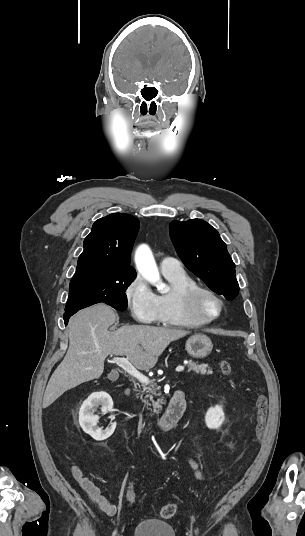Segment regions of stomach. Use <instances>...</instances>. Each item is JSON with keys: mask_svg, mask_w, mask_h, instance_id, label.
I'll return each instance as SVG.
<instances>
[{"mask_svg": "<svg viewBox=\"0 0 305 536\" xmlns=\"http://www.w3.org/2000/svg\"><path fill=\"white\" fill-rule=\"evenodd\" d=\"M212 342L204 334H195L186 342L185 350L192 358H206L212 352Z\"/></svg>", "mask_w": 305, "mask_h": 536, "instance_id": "0dacf381", "label": "stomach"}]
</instances>
